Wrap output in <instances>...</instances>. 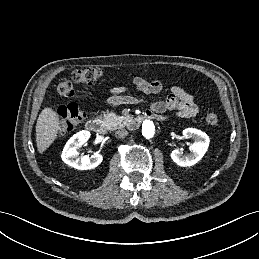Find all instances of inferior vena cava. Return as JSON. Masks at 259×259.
I'll return each mask as SVG.
<instances>
[{"label":"inferior vena cava","instance_id":"1","mask_svg":"<svg viewBox=\"0 0 259 259\" xmlns=\"http://www.w3.org/2000/svg\"><path fill=\"white\" fill-rule=\"evenodd\" d=\"M128 135V131L126 129H119L115 132L116 138H125Z\"/></svg>","mask_w":259,"mask_h":259}]
</instances>
